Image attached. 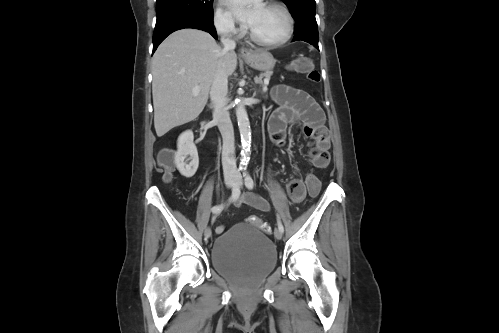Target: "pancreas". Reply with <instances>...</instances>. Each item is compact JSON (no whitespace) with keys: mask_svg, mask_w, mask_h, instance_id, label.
Wrapping results in <instances>:
<instances>
[{"mask_svg":"<svg viewBox=\"0 0 499 333\" xmlns=\"http://www.w3.org/2000/svg\"><path fill=\"white\" fill-rule=\"evenodd\" d=\"M272 74H273L272 71H266L265 73L260 74L259 77H256L257 83L262 84L263 78L266 80H270V77L272 76Z\"/></svg>","mask_w":499,"mask_h":333,"instance_id":"cf45deb5","label":"pancreas"}]
</instances>
